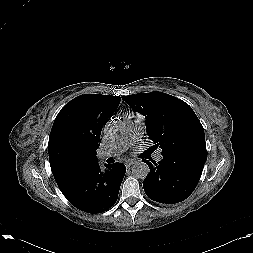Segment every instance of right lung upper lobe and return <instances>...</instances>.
<instances>
[{
    "label": "right lung upper lobe",
    "mask_w": 253,
    "mask_h": 253,
    "mask_svg": "<svg viewBox=\"0 0 253 253\" xmlns=\"http://www.w3.org/2000/svg\"><path fill=\"white\" fill-rule=\"evenodd\" d=\"M119 96L85 94L58 113L49 136L48 152L57 184L98 162L102 127L119 106Z\"/></svg>",
    "instance_id": "right-lung-upper-lobe-1"
}]
</instances>
